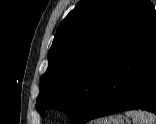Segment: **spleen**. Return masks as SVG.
Returning <instances> with one entry per match:
<instances>
[{
    "label": "spleen",
    "instance_id": "1",
    "mask_svg": "<svg viewBox=\"0 0 156 124\" xmlns=\"http://www.w3.org/2000/svg\"><path fill=\"white\" fill-rule=\"evenodd\" d=\"M127 117H131L133 124H156V116L146 111H126Z\"/></svg>",
    "mask_w": 156,
    "mask_h": 124
}]
</instances>
